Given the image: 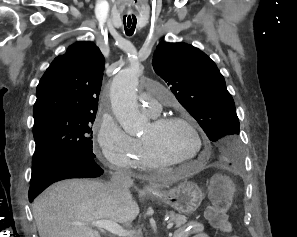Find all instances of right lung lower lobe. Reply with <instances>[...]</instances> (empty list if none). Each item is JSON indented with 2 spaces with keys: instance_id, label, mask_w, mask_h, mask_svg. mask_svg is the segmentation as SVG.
<instances>
[{
  "instance_id": "obj_1",
  "label": "right lung lower lobe",
  "mask_w": 297,
  "mask_h": 237,
  "mask_svg": "<svg viewBox=\"0 0 297 237\" xmlns=\"http://www.w3.org/2000/svg\"><path fill=\"white\" fill-rule=\"evenodd\" d=\"M103 170L94 158L77 152H57L32 166L29 199L32 201L54 182L72 178H97Z\"/></svg>"
}]
</instances>
